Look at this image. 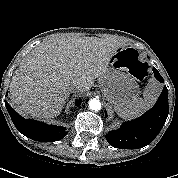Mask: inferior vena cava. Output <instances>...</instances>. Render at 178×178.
I'll return each instance as SVG.
<instances>
[{"instance_id":"obj_1","label":"inferior vena cava","mask_w":178,"mask_h":178,"mask_svg":"<svg viewBox=\"0 0 178 178\" xmlns=\"http://www.w3.org/2000/svg\"><path fill=\"white\" fill-rule=\"evenodd\" d=\"M79 89V86L76 84V83H73V88H72V90L73 91H76V90H78Z\"/></svg>"}]
</instances>
